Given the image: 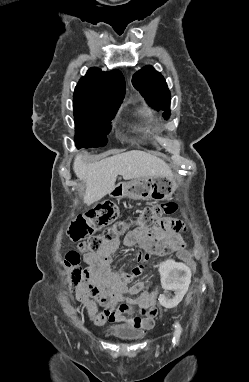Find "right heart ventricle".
<instances>
[{
	"mask_svg": "<svg viewBox=\"0 0 249 382\" xmlns=\"http://www.w3.org/2000/svg\"><path fill=\"white\" fill-rule=\"evenodd\" d=\"M138 114L142 118L146 119L148 122H151V120H152V113H151V111L149 109L141 108V109L138 110Z\"/></svg>",
	"mask_w": 249,
	"mask_h": 382,
	"instance_id": "obj_1",
	"label": "right heart ventricle"
}]
</instances>
